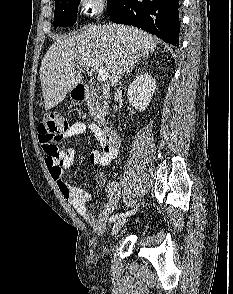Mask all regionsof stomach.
Returning <instances> with one entry per match:
<instances>
[{"instance_id":"1","label":"stomach","mask_w":233,"mask_h":294,"mask_svg":"<svg viewBox=\"0 0 233 294\" xmlns=\"http://www.w3.org/2000/svg\"><path fill=\"white\" fill-rule=\"evenodd\" d=\"M70 95H71L72 98H75V96H77V93H76V91L73 89V90L70 91Z\"/></svg>"}]
</instances>
